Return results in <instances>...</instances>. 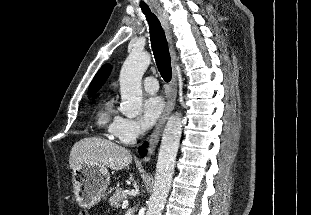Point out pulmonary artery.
I'll list each match as a JSON object with an SVG mask.
<instances>
[{
    "label": "pulmonary artery",
    "instance_id": "obj_1",
    "mask_svg": "<svg viewBox=\"0 0 311 215\" xmlns=\"http://www.w3.org/2000/svg\"><path fill=\"white\" fill-rule=\"evenodd\" d=\"M143 86H144V89L150 93L156 92L159 88L156 78L152 76L146 77L143 80Z\"/></svg>",
    "mask_w": 311,
    "mask_h": 215
}]
</instances>
